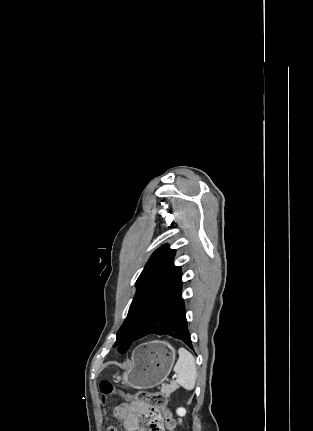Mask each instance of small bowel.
Returning <instances> with one entry per match:
<instances>
[{
    "mask_svg": "<svg viewBox=\"0 0 313 431\" xmlns=\"http://www.w3.org/2000/svg\"><path fill=\"white\" fill-rule=\"evenodd\" d=\"M114 415L123 424L126 431H144L141 423L146 417L150 419L151 431L152 424L157 419L146 405L136 403L118 405L114 409Z\"/></svg>",
    "mask_w": 313,
    "mask_h": 431,
    "instance_id": "c3829d8e",
    "label": "small bowel"
}]
</instances>
